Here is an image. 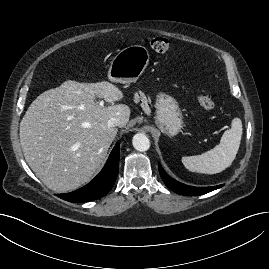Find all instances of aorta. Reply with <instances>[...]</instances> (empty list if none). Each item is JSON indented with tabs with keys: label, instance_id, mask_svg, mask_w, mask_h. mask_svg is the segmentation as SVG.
Masks as SVG:
<instances>
[{
	"label": "aorta",
	"instance_id": "aorta-1",
	"mask_svg": "<svg viewBox=\"0 0 269 269\" xmlns=\"http://www.w3.org/2000/svg\"><path fill=\"white\" fill-rule=\"evenodd\" d=\"M133 147L140 152L147 151L150 148L149 138L144 133H137L132 139Z\"/></svg>",
	"mask_w": 269,
	"mask_h": 269
}]
</instances>
